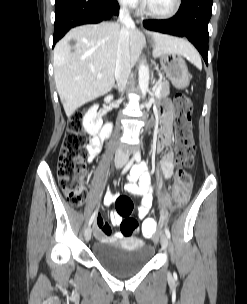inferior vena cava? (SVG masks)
<instances>
[{
  "label": "inferior vena cava",
  "instance_id": "1",
  "mask_svg": "<svg viewBox=\"0 0 247 304\" xmlns=\"http://www.w3.org/2000/svg\"><path fill=\"white\" fill-rule=\"evenodd\" d=\"M119 21L123 26L120 31L117 47L115 79L118 90L122 92L131 73L128 28L134 27V22L125 6L120 10ZM128 160V154L122 148H118L115 154V165L123 166L127 164Z\"/></svg>",
  "mask_w": 247,
  "mask_h": 304
}]
</instances>
